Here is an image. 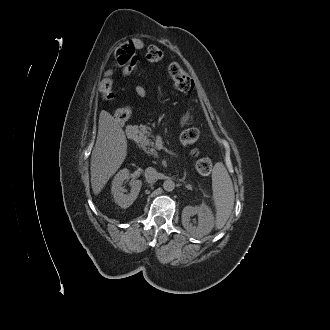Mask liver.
Listing matches in <instances>:
<instances>
[{"label":"liver","mask_w":330,"mask_h":330,"mask_svg":"<svg viewBox=\"0 0 330 330\" xmlns=\"http://www.w3.org/2000/svg\"><path fill=\"white\" fill-rule=\"evenodd\" d=\"M127 155V140L118 121L108 112L99 116L98 135L91 155V186L99 194Z\"/></svg>","instance_id":"6515ba94"}]
</instances>
